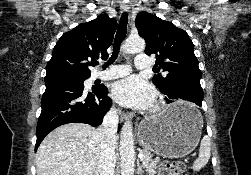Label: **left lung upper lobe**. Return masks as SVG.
<instances>
[{
  "instance_id": "5c2ea615",
  "label": "left lung upper lobe",
  "mask_w": 251,
  "mask_h": 175,
  "mask_svg": "<svg viewBox=\"0 0 251 175\" xmlns=\"http://www.w3.org/2000/svg\"><path fill=\"white\" fill-rule=\"evenodd\" d=\"M136 27L145 39L147 55L154 54L156 64L167 72L152 78L159 89H166L170 84L187 81L201 87L202 73L194 54V45L188 34L173 23L160 19L146 11L136 17Z\"/></svg>"
}]
</instances>
